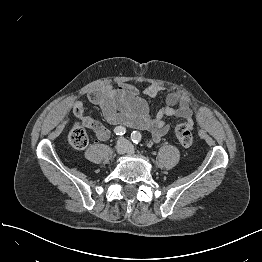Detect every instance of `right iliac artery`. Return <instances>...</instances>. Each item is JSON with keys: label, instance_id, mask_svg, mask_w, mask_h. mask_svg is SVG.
<instances>
[{"label": "right iliac artery", "instance_id": "right-iliac-artery-1", "mask_svg": "<svg viewBox=\"0 0 262 262\" xmlns=\"http://www.w3.org/2000/svg\"><path fill=\"white\" fill-rule=\"evenodd\" d=\"M114 132H115L116 135H123V134L126 133V129L124 127L120 126V127H116L114 129Z\"/></svg>", "mask_w": 262, "mask_h": 262}]
</instances>
